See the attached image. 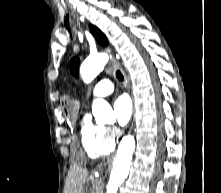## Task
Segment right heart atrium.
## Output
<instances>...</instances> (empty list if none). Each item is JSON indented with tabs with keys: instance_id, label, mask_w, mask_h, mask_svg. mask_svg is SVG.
I'll use <instances>...</instances> for the list:
<instances>
[{
	"instance_id": "d8ad5b80",
	"label": "right heart atrium",
	"mask_w": 221,
	"mask_h": 193,
	"mask_svg": "<svg viewBox=\"0 0 221 193\" xmlns=\"http://www.w3.org/2000/svg\"><path fill=\"white\" fill-rule=\"evenodd\" d=\"M106 133L109 139L113 140L114 137L116 136V131L112 127H107L106 128Z\"/></svg>"
}]
</instances>
